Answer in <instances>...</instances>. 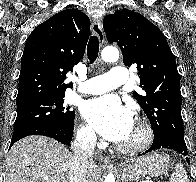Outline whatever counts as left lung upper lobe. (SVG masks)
Here are the masks:
<instances>
[{
    "mask_svg": "<svg viewBox=\"0 0 196 182\" xmlns=\"http://www.w3.org/2000/svg\"><path fill=\"white\" fill-rule=\"evenodd\" d=\"M109 42H117L127 66L137 64L140 87L133 92L146 113L154 139L165 135L184 138L180 78L174 55L158 27L139 13L116 11L103 20Z\"/></svg>",
    "mask_w": 196,
    "mask_h": 182,
    "instance_id": "5c2ea615",
    "label": "left lung upper lobe"
}]
</instances>
